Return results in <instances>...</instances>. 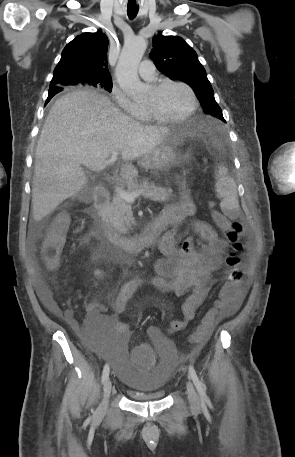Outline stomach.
Listing matches in <instances>:
<instances>
[{"label": "stomach", "instance_id": "0dacf381", "mask_svg": "<svg viewBox=\"0 0 295 457\" xmlns=\"http://www.w3.org/2000/svg\"><path fill=\"white\" fill-rule=\"evenodd\" d=\"M204 132L206 130L203 123L192 120L178 132L172 131L167 135L159 146L143 157L141 166L147 170H168L172 166L179 165L182 163V158L178 146L188 137H202Z\"/></svg>", "mask_w": 295, "mask_h": 457}]
</instances>
